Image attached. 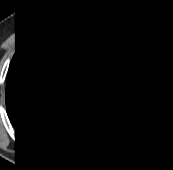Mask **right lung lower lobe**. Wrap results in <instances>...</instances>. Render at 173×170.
Wrapping results in <instances>:
<instances>
[{
  "mask_svg": "<svg viewBox=\"0 0 173 170\" xmlns=\"http://www.w3.org/2000/svg\"><path fill=\"white\" fill-rule=\"evenodd\" d=\"M7 114L17 135L37 150H52L64 144L80 119L72 111L62 116L40 102L14 105Z\"/></svg>",
  "mask_w": 173,
  "mask_h": 170,
  "instance_id": "obj_1",
  "label": "right lung lower lobe"
}]
</instances>
